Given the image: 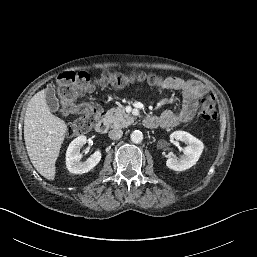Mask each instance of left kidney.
Instances as JSON below:
<instances>
[{"mask_svg": "<svg viewBox=\"0 0 257 257\" xmlns=\"http://www.w3.org/2000/svg\"><path fill=\"white\" fill-rule=\"evenodd\" d=\"M170 138L182 141L187 146L183 149L184 154L180 158H168L166 166L174 171H184L194 166L203 152V143L185 131H175Z\"/></svg>", "mask_w": 257, "mask_h": 257, "instance_id": "5707ae66", "label": "left kidney"}]
</instances>
